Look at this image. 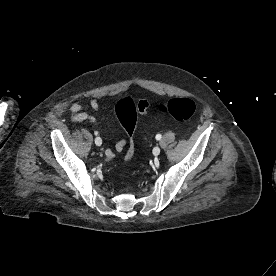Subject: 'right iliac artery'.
<instances>
[{"instance_id": "right-iliac-artery-1", "label": "right iliac artery", "mask_w": 276, "mask_h": 276, "mask_svg": "<svg viewBox=\"0 0 276 276\" xmlns=\"http://www.w3.org/2000/svg\"><path fill=\"white\" fill-rule=\"evenodd\" d=\"M97 134H98V132H95V135H97ZM97 143H98V144H102V140L97 141Z\"/></svg>"}]
</instances>
